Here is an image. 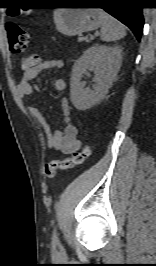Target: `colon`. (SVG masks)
I'll return each mask as SVG.
<instances>
[{
  "label": "colon",
  "instance_id": "5ec220e1",
  "mask_svg": "<svg viewBox=\"0 0 156 266\" xmlns=\"http://www.w3.org/2000/svg\"><path fill=\"white\" fill-rule=\"evenodd\" d=\"M9 49L12 53L24 52L30 41L29 34L22 27L16 24H8L6 26ZM40 56L32 54L23 58L22 67L25 70L31 69L40 63ZM91 155L90 140L80 150L72 153L68 158L62 160H52L44 165L45 174L48 178H54L59 170H68L79 164H82Z\"/></svg>",
  "mask_w": 156,
  "mask_h": 266
}]
</instances>
